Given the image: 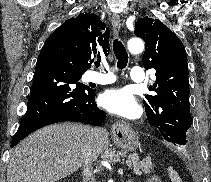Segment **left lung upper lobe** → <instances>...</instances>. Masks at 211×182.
<instances>
[{
    "label": "left lung upper lobe",
    "mask_w": 211,
    "mask_h": 182,
    "mask_svg": "<svg viewBox=\"0 0 211 182\" xmlns=\"http://www.w3.org/2000/svg\"><path fill=\"white\" fill-rule=\"evenodd\" d=\"M134 33L145 42V69L156 70L157 80L149 87L156 94L146 95L144 101L148 122L168 142L191 148L192 118L184 45L161 21L148 17L137 20Z\"/></svg>",
    "instance_id": "left-lung-upper-lobe-1"
}]
</instances>
